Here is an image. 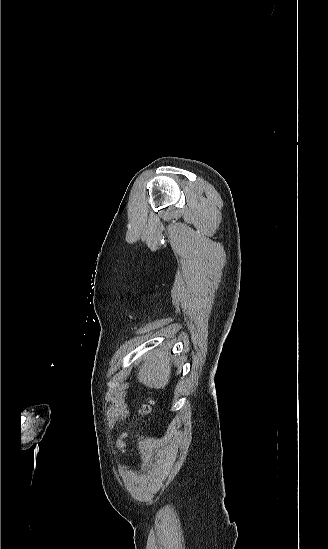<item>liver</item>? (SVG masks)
<instances>
[{"mask_svg": "<svg viewBox=\"0 0 328 549\" xmlns=\"http://www.w3.org/2000/svg\"><path fill=\"white\" fill-rule=\"evenodd\" d=\"M170 375L171 365L168 353L154 351L140 369L137 379L149 389H164L169 383Z\"/></svg>", "mask_w": 328, "mask_h": 549, "instance_id": "6515ba94", "label": "liver"}]
</instances>
